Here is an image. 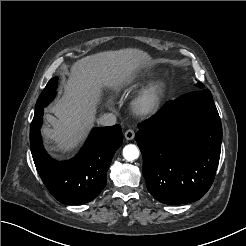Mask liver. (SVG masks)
<instances>
[{
    "mask_svg": "<svg viewBox=\"0 0 246 246\" xmlns=\"http://www.w3.org/2000/svg\"><path fill=\"white\" fill-rule=\"evenodd\" d=\"M137 48L104 51L86 56L70 67L64 93L46 114L49 127L43 135L54 142L50 151L71 153L85 140L96 119L101 89H119L130 83L138 70L151 62Z\"/></svg>",
    "mask_w": 246,
    "mask_h": 246,
    "instance_id": "liver-1",
    "label": "liver"
}]
</instances>
